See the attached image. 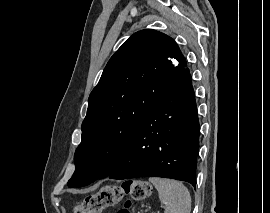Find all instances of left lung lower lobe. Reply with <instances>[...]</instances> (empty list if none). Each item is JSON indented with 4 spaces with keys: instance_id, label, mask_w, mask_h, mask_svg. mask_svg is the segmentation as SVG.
<instances>
[{
    "instance_id": "1",
    "label": "left lung lower lobe",
    "mask_w": 270,
    "mask_h": 213,
    "mask_svg": "<svg viewBox=\"0 0 270 213\" xmlns=\"http://www.w3.org/2000/svg\"><path fill=\"white\" fill-rule=\"evenodd\" d=\"M199 131L195 94L186 69L138 124L105 177H164L195 187Z\"/></svg>"
}]
</instances>
